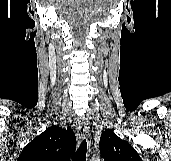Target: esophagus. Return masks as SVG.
<instances>
[{"label": "esophagus", "mask_w": 171, "mask_h": 161, "mask_svg": "<svg viewBox=\"0 0 171 161\" xmlns=\"http://www.w3.org/2000/svg\"><path fill=\"white\" fill-rule=\"evenodd\" d=\"M77 136L80 141H83L84 139H88L89 137V127H88L87 120L85 118H82L78 122Z\"/></svg>", "instance_id": "esophagus-1"}]
</instances>
